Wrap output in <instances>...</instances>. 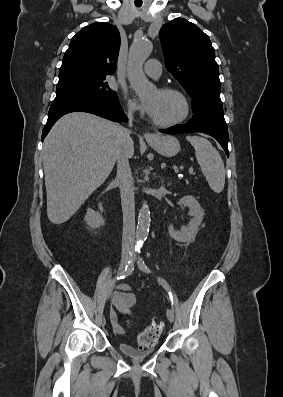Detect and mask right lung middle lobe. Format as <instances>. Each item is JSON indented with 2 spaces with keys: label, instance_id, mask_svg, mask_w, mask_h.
Returning <instances> with one entry per match:
<instances>
[{
  "label": "right lung middle lobe",
  "instance_id": "1",
  "mask_svg": "<svg viewBox=\"0 0 283 397\" xmlns=\"http://www.w3.org/2000/svg\"><path fill=\"white\" fill-rule=\"evenodd\" d=\"M107 76L66 73L59 76L55 99L66 97H86L105 103H119L115 91L109 88Z\"/></svg>",
  "mask_w": 283,
  "mask_h": 397
}]
</instances>
